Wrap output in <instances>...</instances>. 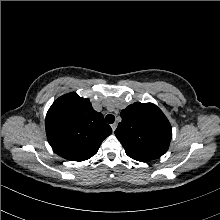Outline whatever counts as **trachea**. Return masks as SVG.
Returning <instances> with one entry per match:
<instances>
[{
	"label": "trachea",
	"mask_w": 220,
	"mask_h": 220,
	"mask_svg": "<svg viewBox=\"0 0 220 220\" xmlns=\"http://www.w3.org/2000/svg\"><path fill=\"white\" fill-rule=\"evenodd\" d=\"M105 120H106L107 123L112 124V123L115 121V117H114V115H112V114H108V115L105 117Z\"/></svg>",
	"instance_id": "1"
}]
</instances>
